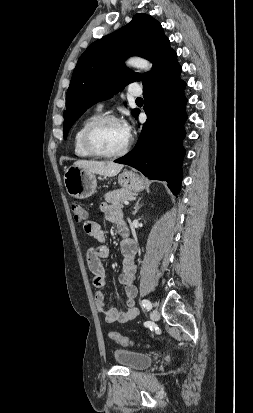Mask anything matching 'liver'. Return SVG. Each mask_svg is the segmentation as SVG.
<instances>
[{
  "mask_svg": "<svg viewBox=\"0 0 253 413\" xmlns=\"http://www.w3.org/2000/svg\"><path fill=\"white\" fill-rule=\"evenodd\" d=\"M74 165L93 174H99L106 177L117 175L124 167L123 164L94 160H78L74 163Z\"/></svg>",
  "mask_w": 253,
  "mask_h": 413,
  "instance_id": "obj_1",
  "label": "liver"
}]
</instances>
